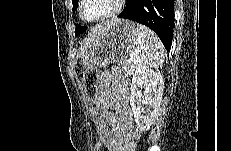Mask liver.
<instances>
[{"label": "liver", "instance_id": "1", "mask_svg": "<svg viewBox=\"0 0 231 151\" xmlns=\"http://www.w3.org/2000/svg\"><path fill=\"white\" fill-rule=\"evenodd\" d=\"M119 19L105 22L97 27H95L88 37L85 39L83 46L81 47V53L84 54L95 42H97L101 35L104 33L106 28L110 26L113 22H118Z\"/></svg>", "mask_w": 231, "mask_h": 151}]
</instances>
